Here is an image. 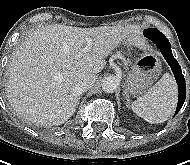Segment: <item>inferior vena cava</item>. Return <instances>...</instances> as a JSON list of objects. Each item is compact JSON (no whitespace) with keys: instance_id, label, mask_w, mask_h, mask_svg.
Here are the masks:
<instances>
[{"instance_id":"1","label":"inferior vena cava","mask_w":190,"mask_h":165,"mask_svg":"<svg viewBox=\"0 0 190 165\" xmlns=\"http://www.w3.org/2000/svg\"><path fill=\"white\" fill-rule=\"evenodd\" d=\"M96 77L92 73H84L77 76L75 81V90L78 94L85 92L92 88L95 84Z\"/></svg>"}]
</instances>
